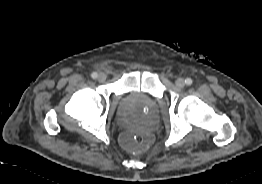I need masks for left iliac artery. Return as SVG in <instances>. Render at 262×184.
Masks as SVG:
<instances>
[{"label": "left iliac artery", "instance_id": "obj_1", "mask_svg": "<svg viewBox=\"0 0 262 184\" xmlns=\"http://www.w3.org/2000/svg\"><path fill=\"white\" fill-rule=\"evenodd\" d=\"M185 83H186L187 85H191V84H192V79H191V78H187V79L185 80Z\"/></svg>", "mask_w": 262, "mask_h": 184}]
</instances>
